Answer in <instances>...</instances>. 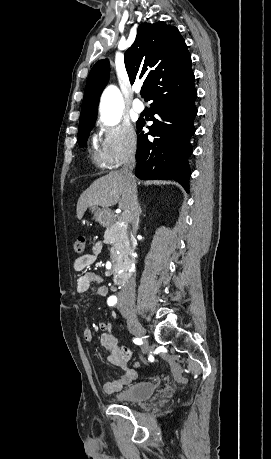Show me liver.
<instances>
[{
    "label": "liver",
    "mask_w": 271,
    "mask_h": 459,
    "mask_svg": "<svg viewBox=\"0 0 271 459\" xmlns=\"http://www.w3.org/2000/svg\"><path fill=\"white\" fill-rule=\"evenodd\" d=\"M132 184L134 180L122 172H109L91 184L81 194L77 204V218L82 220L89 206H102L109 208L119 202L120 210H130L133 200ZM122 194V198H120Z\"/></svg>",
    "instance_id": "liver-1"
}]
</instances>
